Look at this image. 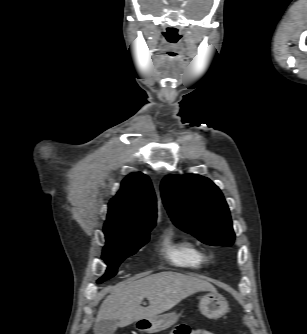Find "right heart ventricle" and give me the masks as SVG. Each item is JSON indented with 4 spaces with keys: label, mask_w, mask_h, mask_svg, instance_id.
<instances>
[{
    "label": "right heart ventricle",
    "mask_w": 307,
    "mask_h": 334,
    "mask_svg": "<svg viewBox=\"0 0 307 334\" xmlns=\"http://www.w3.org/2000/svg\"><path fill=\"white\" fill-rule=\"evenodd\" d=\"M160 249L164 259L183 269H200L204 261L198 246L189 238L167 229L160 237Z\"/></svg>",
    "instance_id": "right-heart-ventricle-1"
}]
</instances>
